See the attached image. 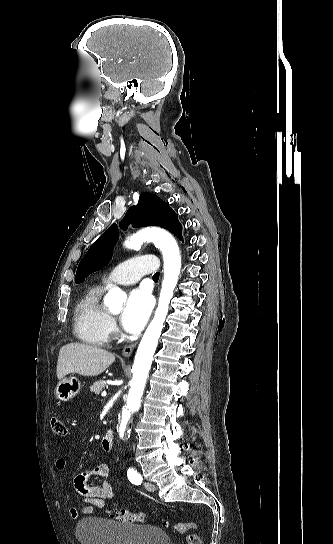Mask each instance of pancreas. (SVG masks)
I'll return each mask as SVG.
<instances>
[{
	"mask_svg": "<svg viewBox=\"0 0 333 544\" xmlns=\"http://www.w3.org/2000/svg\"><path fill=\"white\" fill-rule=\"evenodd\" d=\"M106 383L104 380L96 381L91 387L90 391L94 392L95 394H99L103 389H105Z\"/></svg>",
	"mask_w": 333,
	"mask_h": 544,
	"instance_id": "pancreas-1",
	"label": "pancreas"
}]
</instances>
